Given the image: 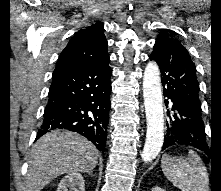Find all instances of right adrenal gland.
<instances>
[{"instance_id":"right-adrenal-gland-1","label":"right adrenal gland","mask_w":221,"mask_h":191,"mask_svg":"<svg viewBox=\"0 0 221 191\" xmlns=\"http://www.w3.org/2000/svg\"><path fill=\"white\" fill-rule=\"evenodd\" d=\"M88 175H92V172H91V171H89V172H88Z\"/></svg>"}]
</instances>
